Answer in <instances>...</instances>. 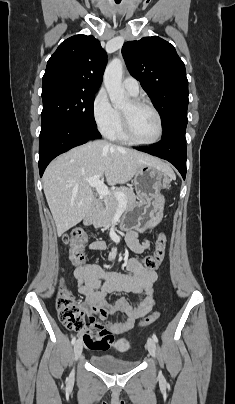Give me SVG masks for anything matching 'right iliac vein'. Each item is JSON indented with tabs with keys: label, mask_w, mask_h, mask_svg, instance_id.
I'll list each match as a JSON object with an SVG mask.
<instances>
[{
	"label": "right iliac vein",
	"mask_w": 235,
	"mask_h": 404,
	"mask_svg": "<svg viewBox=\"0 0 235 404\" xmlns=\"http://www.w3.org/2000/svg\"><path fill=\"white\" fill-rule=\"evenodd\" d=\"M82 350H83L82 341L77 340L75 345H74V357H75V360H77L81 356Z\"/></svg>",
	"instance_id": "right-iliac-vein-1"
}]
</instances>
